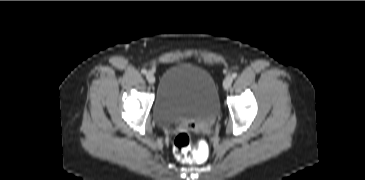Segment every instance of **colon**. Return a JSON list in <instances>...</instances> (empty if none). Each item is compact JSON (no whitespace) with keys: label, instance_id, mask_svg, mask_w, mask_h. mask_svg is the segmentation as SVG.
<instances>
[{"label":"colon","instance_id":"colon-1","mask_svg":"<svg viewBox=\"0 0 365 180\" xmlns=\"http://www.w3.org/2000/svg\"><path fill=\"white\" fill-rule=\"evenodd\" d=\"M173 151L183 163L202 164L207 161L210 149L205 142H198L195 146L188 131L178 133L173 140Z\"/></svg>","mask_w":365,"mask_h":180}]
</instances>
